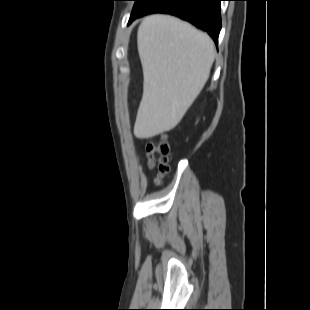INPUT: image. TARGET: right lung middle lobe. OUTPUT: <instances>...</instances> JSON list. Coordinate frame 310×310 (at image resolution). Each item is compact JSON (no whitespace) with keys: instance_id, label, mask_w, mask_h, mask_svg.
<instances>
[{"instance_id":"right-lung-middle-lobe-1","label":"right lung middle lobe","mask_w":310,"mask_h":310,"mask_svg":"<svg viewBox=\"0 0 310 310\" xmlns=\"http://www.w3.org/2000/svg\"><path fill=\"white\" fill-rule=\"evenodd\" d=\"M135 5L133 7L132 15L137 14L141 12L142 10H145L149 8L154 3L158 2L159 0H134Z\"/></svg>"}]
</instances>
